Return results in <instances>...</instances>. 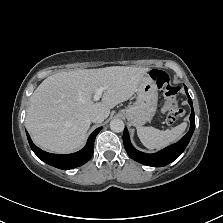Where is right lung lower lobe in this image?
<instances>
[{
    "label": "right lung lower lobe",
    "instance_id": "obj_1",
    "mask_svg": "<svg viewBox=\"0 0 223 223\" xmlns=\"http://www.w3.org/2000/svg\"><path fill=\"white\" fill-rule=\"evenodd\" d=\"M100 130L101 128H98L90 135L86 146L82 150L67 155L51 154L42 151L40 148L33 144L27 131L26 134L31 149L42 161L56 168L65 170L79 167L90 160L93 155L94 140Z\"/></svg>",
    "mask_w": 223,
    "mask_h": 223
}]
</instances>
